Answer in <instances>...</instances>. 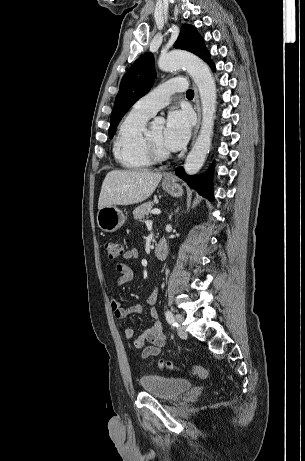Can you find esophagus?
<instances>
[{"mask_svg": "<svg viewBox=\"0 0 305 461\" xmlns=\"http://www.w3.org/2000/svg\"><path fill=\"white\" fill-rule=\"evenodd\" d=\"M193 88H194V92H195L194 107H195V110H196V113H197V124H196V127L194 129L192 144L195 141V138L197 136V133L199 131L200 124H201V108H200L198 89H197L196 85H194V84H193ZM166 179L167 180H172L173 178L168 176Z\"/></svg>", "mask_w": 305, "mask_h": 461, "instance_id": "34e87169", "label": "esophagus"}]
</instances>
